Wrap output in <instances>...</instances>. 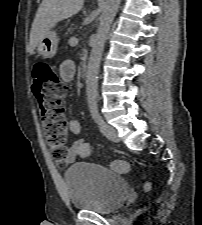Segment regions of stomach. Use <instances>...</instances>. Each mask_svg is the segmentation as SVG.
Instances as JSON below:
<instances>
[{
	"label": "stomach",
	"instance_id": "0dacf381",
	"mask_svg": "<svg viewBox=\"0 0 202 225\" xmlns=\"http://www.w3.org/2000/svg\"><path fill=\"white\" fill-rule=\"evenodd\" d=\"M59 38L55 31H48L37 46L39 55L43 58H52L57 51Z\"/></svg>",
	"mask_w": 202,
	"mask_h": 225
}]
</instances>
